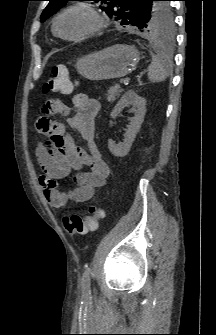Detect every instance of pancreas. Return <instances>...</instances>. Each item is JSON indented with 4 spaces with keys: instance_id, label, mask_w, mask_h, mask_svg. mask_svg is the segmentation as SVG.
<instances>
[{
    "instance_id": "1",
    "label": "pancreas",
    "mask_w": 216,
    "mask_h": 335,
    "mask_svg": "<svg viewBox=\"0 0 216 335\" xmlns=\"http://www.w3.org/2000/svg\"><path fill=\"white\" fill-rule=\"evenodd\" d=\"M120 92H122L120 85L115 84L114 86L110 87V89L107 92V100L108 102H114L120 95Z\"/></svg>"
}]
</instances>
